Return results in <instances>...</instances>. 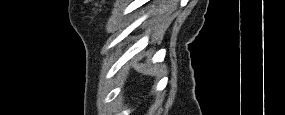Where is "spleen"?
I'll list each match as a JSON object with an SVG mask.
<instances>
[{"label": "spleen", "mask_w": 285, "mask_h": 115, "mask_svg": "<svg viewBox=\"0 0 285 115\" xmlns=\"http://www.w3.org/2000/svg\"><path fill=\"white\" fill-rule=\"evenodd\" d=\"M135 69L144 75L156 76L160 74V71L157 67H148L144 64L136 65Z\"/></svg>", "instance_id": "1"}]
</instances>
